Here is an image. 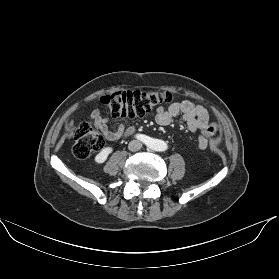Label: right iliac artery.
<instances>
[{
  "label": "right iliac artery",
  "mask_w": 279,
  "mask_h": 279,
  "mask_svg": "<svg viewBox=\"0 0 279 279\" xmlns=\"http://www.w3.org/2000/svg\"><path fill=\"white\" fill-rule=\"evenodd\" d=\"M137 138L140 139V140H144L145 137L143 135H137Z\"/></svg>",
  "instance_id": "1"
}]
</instances>
